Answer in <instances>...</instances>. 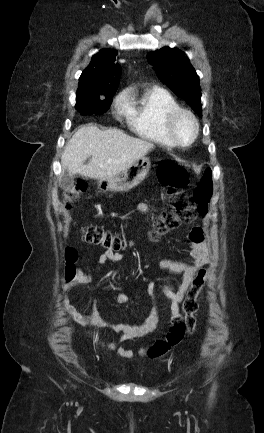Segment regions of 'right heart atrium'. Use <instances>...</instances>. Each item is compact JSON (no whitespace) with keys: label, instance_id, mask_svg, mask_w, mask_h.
<instances>
[{"label":"right heart atrium","instance_id":"obj_1","mask_svg":"<svg viewBox=\"0 0 264 433\" xmlns=\"http://www.w3.org/2000/svg\"><path fill=\"white\" fill-rule=\"evenodd\" d=\"M114 111L117 115L126 114L128 109V97L125 92H121L114 99Z\"/></svg>","mask_w":264,"mask_h":433}]
</instances>
